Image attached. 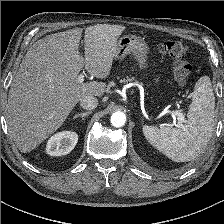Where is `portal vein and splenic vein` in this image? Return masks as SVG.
I'll return each instance as SVG.
<instances>
[{
  "label": "portal vein and splenic vein",
  "instance_id": "portal-vein-and-splenic-vein-1",
  "mask_svg": "<svg viewBox=\"0 0 224 224\" xmlns=\"http://www.w3.org/2000/svg\"><path fill=\"white\" fill-rule=\"evenodd\" d=\"M77 81H78V83H80V84L83 83V81H84V74H83V73L80 74V75L77 77ZM173 114H174L175 116H177L178 121H179L180 123L184 122V115H183L181 112H179V111H175V112H173Z\"/></svg>",
  "mask_w": 224,
  "mask_h": 224
}]
</instances>
